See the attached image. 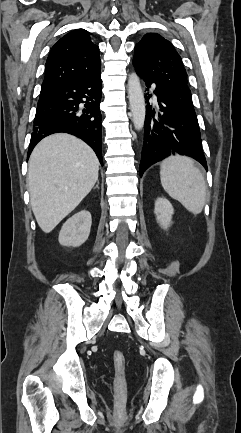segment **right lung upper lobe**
<instances>
[{"instance_id": "1", "label": "right lung upper lobe", "mask_w": 241, "mask_h": 433, "mask_svg": "<svg viewBox=\"0 0 241 433\" xmlns=\"http://www.w3.org/2000/svg\"><path fill=\"white\" fill-rule=\"evenodd\" d=\"M101 70L99 48L88 32L77 29L54 44L45 65L41 93L64 82L88 77Z\"/></svg>"}]
</instances>
